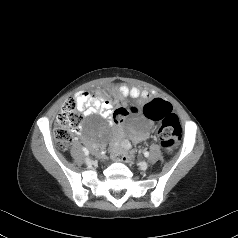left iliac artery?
Wrapping results in <instances>:
<instances>
[{"mask_svg": "<svg viewBox=\"0 0 238 238\" xmlns=\"http://www.w3.org/2000/svg\"><path fill=\"white\" fill-rule=\"evenodd\" d=\"M144 156H145V157H148V156H149V152L146 151V152L144 153Z\"/></svg>", "mask_w": 238, "mask_h": 238, "instance_id": "1", "label": "left iliac artery"}]
</instances>
